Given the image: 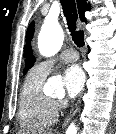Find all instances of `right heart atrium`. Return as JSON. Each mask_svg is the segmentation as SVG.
Here are the masks:
<instances>
[{
  "label": "right heart atrium",
  "mask_w": 116,
  "mask_h": 134,
  "mask_svg": "<svg viewBox=\"0 0 116 134\" xmlns=\"http://www.w3.org/2000/svg\"><path fill=\"white\" fill-rule=\"evenodd\" d=\"M54 105H55L56 110H59L64 107V102L57 100V101H54Z\"/></svg>",
  "instance_id": "d8ad5b80"
}]
</instances>
